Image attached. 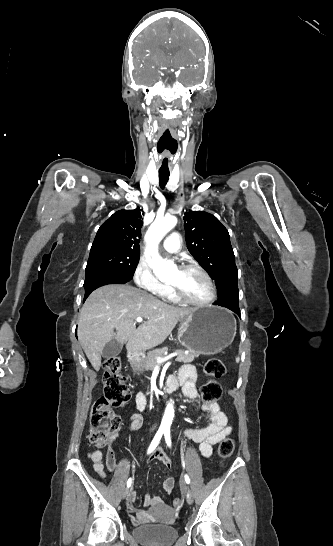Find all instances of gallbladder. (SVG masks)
<instances>
[{"label": "gallbladder", "instance_id": "obj_1", "mask_svg": "<svg viewBox=\"0 0 333 546\" xmlns=\"http://www.w3.org/2000/svg\"><path fill=\"white\" fill-rule=\"evenodd\" d=\"M123 348V343L118 341H110L105 345L102 351V357L104 358H115L118 356Z\"/></svg>", "mask_w": 333, "mask_h": 546}]
</instances>
